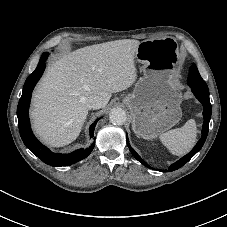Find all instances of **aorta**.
<instances>
[{
	"label": "aorta",
	"instance_id": "aorta-1",
	"mask_svg": "<svg viewBox=\"0 0 227 227\" xmlns=\"http://www.w3.org/2000/svg\"><path fill=\"white\" fill-rule=\"evenodd\" d=\"M109 119L114 125H122L126 122L127 115L122 108H114L109 114Z\"/></svg>",
	"mask_w": 227,
	"mask_h": 227
}]
</instances>
